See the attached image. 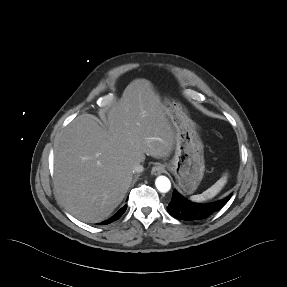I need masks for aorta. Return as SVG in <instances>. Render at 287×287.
Returning a JSON list of instances; mask_svg holds the SVG:
<instances>
[{"label": "aorta", "instance_id": "aorta-1", "mask_svg": "<svg viewBox=\"0 0 287 287\" xmlns=\"http://www.w3.org/2000/svg\"><path fill=\"white\" fill-rule=\"evenodd\" d=\"M155 186L161 193H166L171 189V182L166 176H158L155 180Z\"/></svg>", "mask_w": 287, "mask_h": 287}]
</instances>
